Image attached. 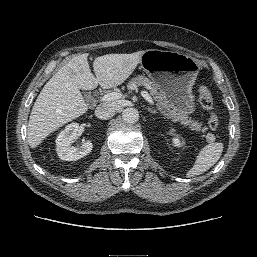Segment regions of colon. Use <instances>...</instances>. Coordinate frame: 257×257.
I'll list each match as a JSON object with an SVG mask.
<instances>
[{"mask_svg":"<svg viewBox=\"0 0 257 257\" xmlns=\"http://www.w3.org/2000/svg\"><path fill=\"white\" fill-rule=\"evenodd\" d=\"M198 100L200 105L210 111V115L208 117V126L211 129H216L219 125V118L218 116L212 111L213 110V105H214V101H213V97L211 94V91L209 90L208 87L206 86H201L199 88L198 91Z\"/></svg>","mask_w":257,"mask_h":257,"instance_id":"5ec220e1","label":"colon"}]
</instances>
